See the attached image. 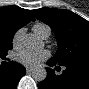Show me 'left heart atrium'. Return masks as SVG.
Returning a JSON list of instances; mask_svg holds the SVG:
<instances>
[{
    "label": "left heart atrium",
    "mask_w": 89,
    "mask_h": 89,
    "mask_svg": "<svg viewBox=\"0 0 89 89\" xmlns=\"http://www.w3.org/2000/svg\"><path fill=\"white\" fill-rule=\"evenodd\" d=\"M49 53L47 51H40V52H33L29 50H23L17 53L16 59L21 64L28 66V67H36L42 61L47 59Z\"/></svg>",
    "instance_id": "obj_1"
}]
</instances>
